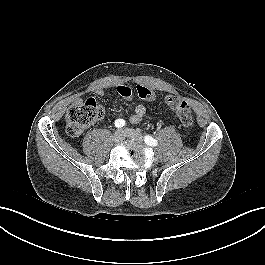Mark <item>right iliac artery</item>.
<instances>
[{
	"mask_svg": "<svg viewBox=\"0 0 265 265\" xmlns=\"http://www.w3.org/2000/svg\"><path fill=\"white\" fill-rule=\"evenodd\" d=\"M114 124L117 128H121V127L125 126V120L124 119H117V120H115Z\"/></svg>",
	"mask_w": 265,
	"mask_h": 265,
	"instance_id": "82829eb1",
	"label": "right iliac artery"
}]
</instances>
